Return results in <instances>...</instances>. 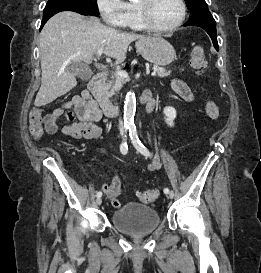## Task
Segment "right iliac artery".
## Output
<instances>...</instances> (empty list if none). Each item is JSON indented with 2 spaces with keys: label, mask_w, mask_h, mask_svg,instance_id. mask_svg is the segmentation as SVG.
I'll use <instances>...</instances> for the list:
<instances>
[{
  "label": "right iliac artery",
  "mask_w": 261,
  "mask_h": 273,
  "mask_svg": "<svg viewBox=\"0 0 261 273\" xmlns=\"http://www.w3.org/2000/svg\"><path fill=\"white\" fill-rule=\"evenodd\" d=\"M120 151L123 155L127 154V151H128V145H127V141L124 140L121 145H120ZM97 197H101L102 196V192L99 191L97 192L96 194Z\"/></svg>",
  "instance_id": "obj_1"
}]
</instances>
